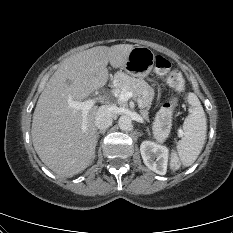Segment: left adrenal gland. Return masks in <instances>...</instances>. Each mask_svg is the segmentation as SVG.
<instances>
[{
	"label": "left adrenal gland",
	"instance_id": "obj_1",
	"mask_svg": "<svg viewBox=\"0 0 233 233\" xmlns=\"http://www.w3.org/2000/svg\"><path fill=\"white\" fill-rule=\"evenodd\" d=\"M146 130H147L148 134H150L149 129L147 128Z\"/></svg>",
	"mask_w": 233,
	"mask_h": 233
}]
</instances>
